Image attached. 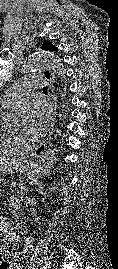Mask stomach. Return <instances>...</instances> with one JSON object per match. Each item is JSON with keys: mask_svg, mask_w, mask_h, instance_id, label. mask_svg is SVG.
Masks as SVG:
<instances>
[{"mask_svg": "<svg viewBox=\"0 0 118 269\" xmlns=\"http://www.w3.org/2000/svg\"><path fill=\"white\" fill-rule=\"evenodd\" d=\"M25 168H26V165H24V164H19V165L15 166L13 169H14L15 171H17V172H23V171L25 170Z\"/></svg>", "mask_w": 118, "mask_h": 269, "instance_id": "0dacf381", "label": "stomach"}]
</instances>
